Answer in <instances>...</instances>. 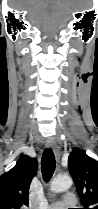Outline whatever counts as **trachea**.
<instances>
[{"label":"trachea","instance_id":"obj_1","mask_svg":"<svg viewBox=\"0 0 98 209\" xmlns=\"http://www.w3.org/2000/svg\"><path fill=\"white\" fill-rule=\"evenodd\" d=\"M56 167L55 156L52 149H45L41 159V170L43 179L48 182Z\"/></svg>","mask_w":98,"mask_h":209}]
</instances>
